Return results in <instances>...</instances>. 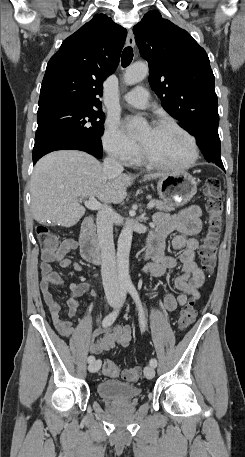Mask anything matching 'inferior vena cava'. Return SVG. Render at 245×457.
I'll list each match as a JSON object with an SVG mask.
<instances>
[{"label": "inferior vena cava", "instance_id": "inferior-vena-cava-1", "mask_svg": "<svg viewBox=\"0 0 245 457\" xmlns=\"http://www.w3.org/2000/svg\"><path fill=\"white\" fill-rule=\"evenodd\" d=\"M103 170L108 176L121 174L124 168L115 156L104 158ZM115 212L111 206H102L96 218L97 235L102 255V283L107 297H118L119 283L113 241V218Z\"/></svg>", "mask_w": 245, "mask_h": 457}]
</instances>
